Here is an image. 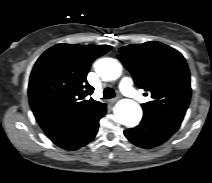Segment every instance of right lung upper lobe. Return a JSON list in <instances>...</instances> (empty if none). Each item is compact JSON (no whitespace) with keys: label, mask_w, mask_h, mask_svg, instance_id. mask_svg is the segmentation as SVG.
<instances>
[{"label":"right lung upper lobe","mask_w":212,"mask_h":183,"mask_svg":"<svg viewBox=\"0 0 212 183\" xmlns=\"http://www.w3.org/2000/svg\"><path fill=\"white\" fill-rule=\"evenodd\" d=\"M108 45L57 44L43 53L32 70L28 95L35 118L50 139L71 134L92 123L106 104L93 98L86 80L92 61Z\"/></svg>","instance_id":"obj_1"}]
</instances>
